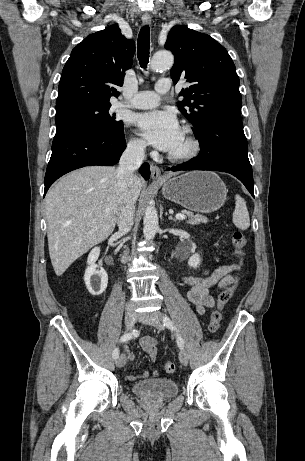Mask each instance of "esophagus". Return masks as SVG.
I'll return each instance as SVG.
<instances>
[{
    "label": "esophagus",
    "mask_w": 305,
    "mask_h": 461,
    "mask_svg": "<svg viewBox=\"0 0 305 461\" xmlns=\"http://www.w3.org/2000/svg\"><path fill=\"white\" fill-rule=\"evenodd\" d=\"M142 23L144 25H149L151 23V17L147 16V15L142 16ZM150 170H151V178L154 181H163L164 180V177H163V175L161 173V170H160V168L158 166H156L154 164H151Z\"/></svg>",
    "instance_id": "1"
}]
</instances>
